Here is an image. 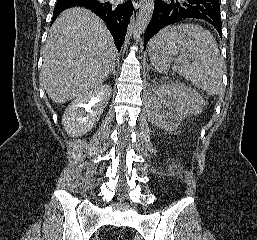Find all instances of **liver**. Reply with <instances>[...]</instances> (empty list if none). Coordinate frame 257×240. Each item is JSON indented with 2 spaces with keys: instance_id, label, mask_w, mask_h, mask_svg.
Masks as SVG:
<instances>
[{
  "instance_id": "1",
  "label": "liver",
  "mask_w": 257,
  "mask_h": 240,
  "mask_svg": "<svg viewBox=\"0 0 257 240\" xmlns=\"http://www.w3.org/2000/svg\"><path fill=\"white\" fill-rule=\"evenodd\" d=\"M117 50L104 22L75 7L53 23L43 49L41 77L55 103H64L99 87L116 65Z\"/></svg>"
}]
</instances>
